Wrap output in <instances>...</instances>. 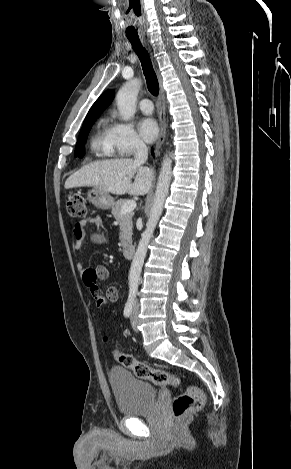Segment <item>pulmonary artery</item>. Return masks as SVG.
Instances as JSON below:
<instances>
[{
	"label": "pulmonary artery",
	"instance_id": "e3ab8cb5",
	"mask_svg": "<svg viewBox=\"0 0 291 469\" xmlns=\"http://www.w3.org/2000/svg\"><path fill=\"white\" fill-rule=\"evenodd\" d=\"M140 110L145 114H150L153 111V104L150 99L144 98L139 102Z\"/></svg>",
	"mask_w": 291,
	"mask_h": 469
}]
</instances>
